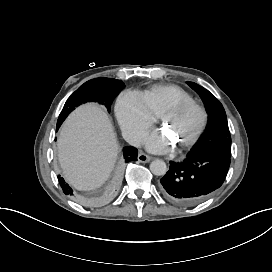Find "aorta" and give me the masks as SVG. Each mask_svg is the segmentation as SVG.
Instances as JSON below:
<instances>
[{
  "label": "aorta",
  "instance_id": "obj_1",
  "mask_svg": "<svg viewBox=\"0 0 272 272\" xmlns=\"http://www.w3.org/2000/svg\"><path fill=\"white\" fill-rule=\"evenodd\" d=\"M150 171L157 176L165 175L167 172L166 163L163 160L156 159L151 162Z\"/></svg>",
  "mask_w": 272,
  "mask_h": 272
}]
</instances>
